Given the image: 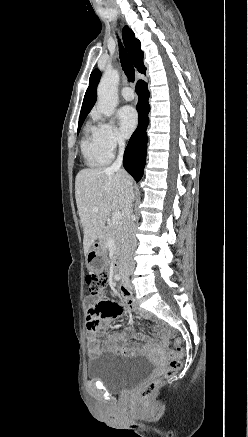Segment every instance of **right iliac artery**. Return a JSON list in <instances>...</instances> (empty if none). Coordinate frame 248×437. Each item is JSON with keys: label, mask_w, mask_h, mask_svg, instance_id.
<instances>
[{"label": "right iliac artery", "mask_w": 248, "mask_h": 437, "mask_svg": "<svg viewBox=\"0 0 248 437\" xmlns=\"http://www.w3.org/2000/svg\"><path fill=\"white\" fill-rule=\"evenodd\" d=\"M115 280H120V275H115Z\"/></svg>", "instance_id": "right-iliac-artery-1"}]
</instances>
